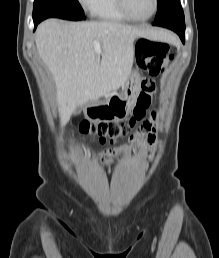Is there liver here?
I'll list each match as a JSON object with an SVG mask.
<instances>
[{"instance_id": "6515ba94", "label": "liver", "mask_w": 219, "mask_h": 258, "mask_svg": "<svg viewBox=\"0 0 219 258\" xmlns=\"http://www.w3.org/2000/svg\"><path fill=\"white\" fill-rule=\"evenodd\" d=\"M138 37L173 40L162 30L105 21L60 23L48 19L38 26L37 51L55 82L63 121L77 107L125 85L133 65V44ZM94 41L101 45L100 54L94 49Z\"/></svg>"}]
</instances>
